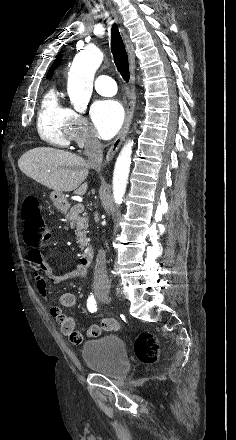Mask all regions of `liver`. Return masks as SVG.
I'll use <instances>...</instances> for the list:
<instances>
[{
  "instance_id": "6515ba94",
  "label": "liver",
  "mask_w": 236,
  "mask_h": 440,
  "mask_svg": "<svg viewBox=\"0 0 236 440\" xmlns=\"http://www.w3.org/2000/svg\"><path fill=\"white\" fill-rule=\"evenodd\" d=\"M20 170L36 182L54 191L84 195L90 166L73 153L51 147H38L24 153L18 160Z\"/></svg>"
}]
</instances>
